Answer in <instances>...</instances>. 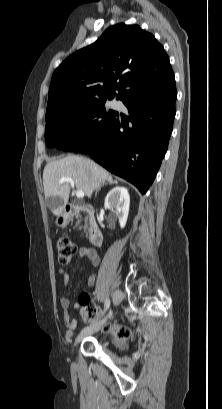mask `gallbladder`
Masks as SVG:
<instances>
[{"label":"gallbladder","instance_id":"bac80fb5","mask_svg":"<svg viewBox=\"0 0 222 409\" xmlns=\"http://www.w3.org/2000/svg\"><path fill=\"white\" fill-rule=\"evenodd\" d=\"M53 198L52 197H48L47 199H46V201H47V205L49 206V207H51L52 206V204H53Z\"/></svg>","mask_w":222,"mask_h":409}]
</instances>
